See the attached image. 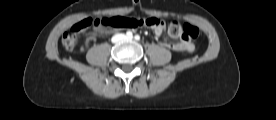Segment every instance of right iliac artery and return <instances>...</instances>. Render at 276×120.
Returning a JSON list of instances; mask_svg holds the SVG:
<instances>
[{
  "label": "right iliac artery",
  "instance_id": "right-iliac-artery-1",
  "mask_svg": "<svg viewBox=\"0 0 276 120\" xmlns=\"http://www.w3.org/2000/svg\"><path fill=\"white\" fill-rule=\"evenodd\" d=\"M126 36H127L128 38H131V37L133 36V34H132L131 31H127V32H126Z\"/></svg>",
  "mask_w": 276,
  "mask_h": 120
}]
</instances>
